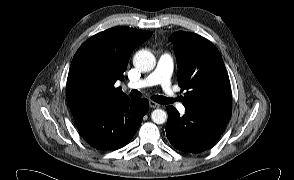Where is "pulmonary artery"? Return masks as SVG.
I'll list each match as a JSON object with an SVG mask.
<instances>
[{
	"mask_svg": "<svg viewBox=\"0 0 294 180\" xmlns=\"http://www.w3.org/2000/svg\"><path fill=\"white\" fill-rule=\"evenodd\" d=\"M173 71L172 58L169 54L160 56L155 70L143 79L130 83L129 87L133 89H141L148 86L161 85L167 93H171V75ZM178 111L185 113V107L177 104Z\"/></svg>",
	"mask_w": 294,
	"mask_h": 180,
	"instance_id": "pulmonary-artery-1",
	"label": "pulmonary artery"
}]
</instances>
